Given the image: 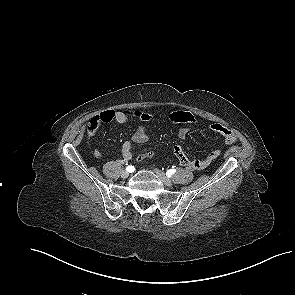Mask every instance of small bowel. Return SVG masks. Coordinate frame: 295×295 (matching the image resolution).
<instances>
[{
	"mask_svg": "<svg viewBox=\"0 0 295 295\" xmlns=\"http://www.w3.org/2000/svg\"><path fill=\"white\" fill-rule=\"evenodd\" d=\"M135 117L143 122L134 134L132 135V141L135 143H145L148 138V126L147 124L154 120V115L151 113H146L142 111H127V110H106L101 112L94 119L97 122V128L103 124L115 121L117 123H125L129 121L130 118ZM168 119L172 123L183 124L178 132V136L181 139L186 138L191 130V125L196 122L194 116L187 111L175 110L167 114ZM209 129L215 133L220 134L226 144H233L236 142V135L229 128L218 124H209ZM174 154L177 157L179 163L190 170H203L208 167L216 158L219 157L220 151L214 150L207 154L202 159H190L182 147L175 146ZM96 157H101V152L99 150L94 151ZM121 158L124 163L128 162L132 158V142L125 141L121 147Z\"/></svg>",
	"mask_w": 295,
	"mask_h": 295,
	"instance_id": "1",
	"label": "small bowel"
}]
</instances>
